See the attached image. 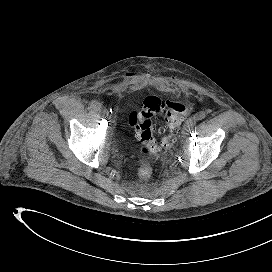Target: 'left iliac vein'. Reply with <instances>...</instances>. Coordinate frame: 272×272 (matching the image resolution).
<instances>
[{
  "mask_svg": "<svg viewBox=\"0 0 272 272\" xmlns=\"http://www.w3.org/2000/svg\"><path fill=\"white\" fill-rule=\"evenodd\" d=\"M193 124H194L193 119L187 120L182 130V137H184L191 130Z\"/></svg>",
  "mask_w": 272,
  "mask_h": 272,
  "instance_id": "obj_1",
  "label": "left iliac vein"
}]
</instances>
